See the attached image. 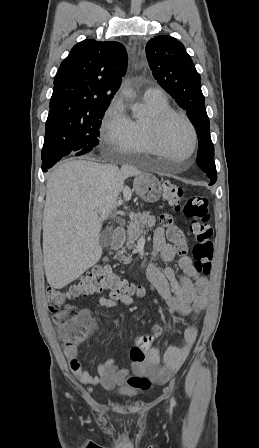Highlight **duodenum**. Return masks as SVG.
I'll list each match as a JSON object with an SVG mask.
<instances>
[{
    "mask_svg": "<svg viewBox=\"0 0 259 448\" xmlns=\"http://www.w3.org/2000/svg\"><path fill=\"white\" fill-rule=\"evenodd\" d=\"M124 236H125V230L122 227H118L113 231L111 240V248L113 250H117L122 246Z\"/></svg>",
    "mask_w": 259,
    "mask_h": 448,
    "instance_id": "1",
    "label": "duodenum"
}]
</instances>
